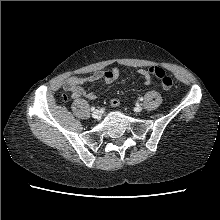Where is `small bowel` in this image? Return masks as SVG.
Returning a JSON list of instances; mask_svg holds the SVG:
<instances>
[{
    "label": "small bowel",
    "instance_id": "obj_1",
    "mask_svg": "<svg viewBox=\"0 0 220 220\" xmlns=\"http://www.w3.org/2000/svg\"><path fill=\"white\" fill-rule=\"evenodd\" d=\"M140 75L144 79L146 84H149L151 81V76L147 73V69H140ZM119 77V70L117 68L107 69L104 71H95L86 77L80 76H70L68 77L64 84L63 88L65 91L70 92L72 97L81 98L85 97L89 100L96 99V94L86 90L83 85L85 83H92L99 80H104L107 83L114 82Z\"/></svg>",
    "mask_w": 220,
    "mask_h": 220
}]
</instances>
